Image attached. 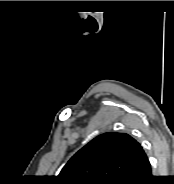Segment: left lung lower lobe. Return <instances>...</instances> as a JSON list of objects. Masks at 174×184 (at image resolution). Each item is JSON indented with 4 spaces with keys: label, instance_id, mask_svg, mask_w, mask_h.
I'll return each instance as SVG.
<instances>
[{
    "label": "left lung lower lobe",
    "instance_id": "1",
    "mask_svg": "<svg viewBox=\"0 0 174 184\" xmlns=\"http://www.w3.org/2000/svg\"><path fill=\"white\" fill-rule=\"evenodd\" d=\"M152 179L151 165L141 147L133 164L130 179L126 184H149Z\"/></svg>",
    "mask_w": 174,
    "mask_h": 184
}]
</instances>
